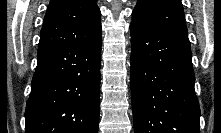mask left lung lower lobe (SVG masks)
Instances as JSON below:
<instances>
[{"label": "left lung lower lobe", "instance_id": "0a47b994", "mask_svg": "<svg viewBox=\"0 0 221 133\" xmlns=\"http://www.w3.org/2000/svg\"><path fill=\"white\" fill-rule=\"evenodd\" d=\"M130 32L135 133H200L187 34L133 23Z\"/></svg>", "mask_w": 221, "mask_h": 133}]
</instances>
